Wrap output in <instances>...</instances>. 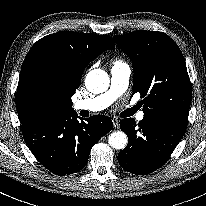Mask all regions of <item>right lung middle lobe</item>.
<instances>
[{
    "mask_svg": "<svg viewBox=\"0 0 206 206\" xmlns=\"http://www.w3.org/2000/svg\"><path fill=\"white\" fill-rule=\"evenodd\" d=\"M58 119V109L52 97L42 88L36 97L34 121L36 125L45 124Z\"/></svg>",
    "mask_w": 206,
    "mask_h": 206,
    "instance_id": "1",
    "label": "right lung middle lobe"
}]
</instances>
